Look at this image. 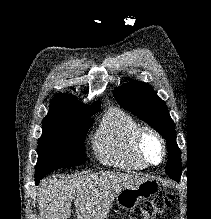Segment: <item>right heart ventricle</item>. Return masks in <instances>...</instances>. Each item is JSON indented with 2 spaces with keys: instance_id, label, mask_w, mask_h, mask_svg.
<instances>
[{
  "instance_id": "1",
  "label": "right heart ventricle",
  "mask_w": 211,
  "mask_h": 219,
  "mask_svg": "<svg viewBox=\"0 0 211 219\" xmlns=\"http://www.w3.org/2000/svg\"><path fill=\"white\" fill-rule=\"evenodd\" d=\"M140 127L126 111L117 107L107 110L92 141L97 159L125 171L145 169L147 166L134 149V138Z\"/></svg>"
}]
</instances>
